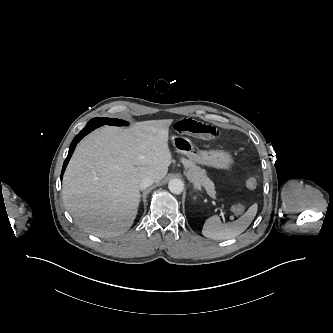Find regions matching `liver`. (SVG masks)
I'll return each mask as SVG.
<instances>
[{
  "label": "liver",
  "mask_w": 333,
  "mask_h": 333,
  "mask_svg": "<svg viewBox=\"0 0 333 333\" xmlns=\"http://www.w3.org/2000/svg\"><path fill=\"white\" fill-rule=\"evenodd\" d=\"M172 119L138 122L130 128L105 126L85 137L65 170V206L79 227L98 237H116L133 225L144 177L161 181L172 154Z\"/></svg>",
  "instance_id": "6515ba94"
}]
</instances>
